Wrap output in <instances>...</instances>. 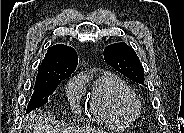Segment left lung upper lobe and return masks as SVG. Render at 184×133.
<instances>
[{
    "mask_svg": "<svg viewBox=\"0 0 184 133\" xmlns=\"http://www.w3.org/2000/svg\"><path fill=\"white\" fill-rule=\"evenodd\" d=\"M104 59L107 64L130 80L145 85L143 66L135 51L126 43L120 42L107 46L104 49Z\"/></svg>",
    "mask_w": 184,
    "mask_h": 133,
    "instance_id": "5c2ea615",
    "label": "left lung upper lobe"
}]
</instances>
